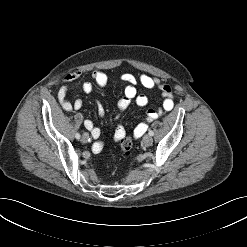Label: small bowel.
<instances>
[{"instance_id": "1", "label": "small bowel", "mask_w": 247, "mask_h": 247, "mask_svg": "<svg viewBox=\"0 0 247 247\" xmlns=\"http://www.w3.org/2000/svg\"><path fill=\"white\" fill-rule=\"evenodd\" d=\"M81 76V72L76 70L64 76L62 85L58 90L57 97L61 107L65 111H74L82 108L83 102L81 99H75L74 101L69 100L68 91L70 89V83L77 80ZM92 82L88 81L83 83L82 91L86 94H90L94 90V83L99 87H105L108 82L107 74L103 71H94L91 75ZM121 80L125 82L126 86L124 89L123 97L117 102V116L125 111L128 106L135 102L138 106L144 107L148 104V97L145 94H141L138 92L137 84L138 82L146 89H154L158 90L162 97L163 103L162 108L157 110L148 109L145 114V120L140 122L134 129L135 137H140L148 128V123L157 119L163 111H171L174 107V97L172 93V88L166 84L161 82L158 78L142 74L139 79H137L134 75L130 73H125L121 75ZM96 107L99 115L104 117L105 110L100 102H96ZM84 126L87 130L90 131L92 137L97 139L101 135V131L98 127H96L92 120L85 119ZM120 134L121 136L125 135V129L122 125H117L115 129V140H117L116 135ZM118 141V140H117ZM102 145L97 143L94 145V150H100Z\"/></svg>"}]
</instances>
